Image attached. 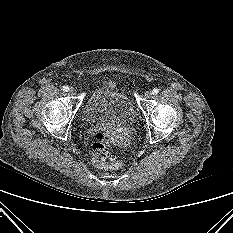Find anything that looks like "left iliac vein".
Listing matches in <instances>:
<instances>
[{"label":"left iliac vein","mask_w":233,"mask_h":233,"mask_svg":"<svg viewBox=\"0 0 233 233\" xmlns=\"http://www.w3.org/2000/svg\"><path fill=\"white\" fill-rule=\"evenodd\" d=\"M144 96H145V98H150L152 96V91H150V90L146 91Z\"/></svg>","instance_id":"obj_1"}]
</instances>
